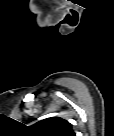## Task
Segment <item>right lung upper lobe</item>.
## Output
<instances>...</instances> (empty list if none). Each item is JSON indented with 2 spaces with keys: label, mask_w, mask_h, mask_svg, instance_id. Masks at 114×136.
Wrapping results in <instances>:
<instances>
[{
  "label": "right lung upper lobe",
  "mask_w": 114,
  "mask_h": 136,
  "mask_svg": "<svg viewBox=\"0 0 114 136\" xmlns=\"http://www.w3.org/2000/svg\"><path fill=\"white\" fill-rule=\"evenodd\" d=\"M37 136H75L72 125L60 117L41 120L30 127Z\"/></svg>",
  "instance_id": "right-lung-upper-lobe-1"
}]
</instances>
